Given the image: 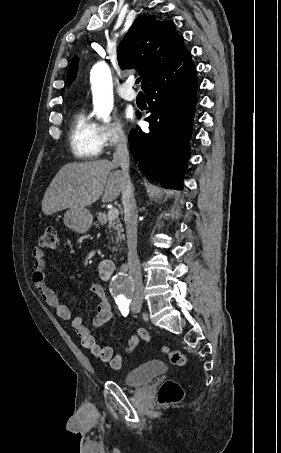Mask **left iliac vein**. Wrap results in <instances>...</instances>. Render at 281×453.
<instances>
[{
    "label": "left iliac vein",
    "mask_w": 281,
    "mask_h": 453,
    "mask_svg": "<svg viewBox=\"0 0 281 453\" xmlns=\"http://www.w3.org/2000/svg\"><path fill=\"white\" fill-rule=\"evenodd\" d=\"M132 313H141V308H142V305H132Z\"/></svg>",
    "instance_id": "left-iliac-vein-1"
}]
</instances>
